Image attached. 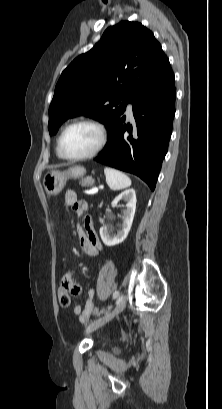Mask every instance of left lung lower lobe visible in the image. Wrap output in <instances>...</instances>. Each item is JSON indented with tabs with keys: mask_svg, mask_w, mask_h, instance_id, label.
Wrapping results in <instances>:
<instances>
[{
	"mask_svg": "<svg viewBox=\"0 0 222 409\" xmlns=\"http://www.w3.org/2000/svg\"><path fill=\"white\" fill-rule=\"evenodd\" d=\"M175 96L170 70L131 100L137 137L131 135L132 126L124 124V110L108 130V142L95 160L139 176L154 190L172 133ZM125 131L130 133L126 140Z\"/></svg>",
	"mask_w": 222,
	"mask_h": 409,
	"instance_id": "0a47b994",
	"label": "left lung lower lobe"
}]
</instances>
